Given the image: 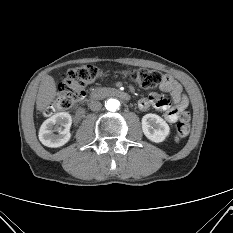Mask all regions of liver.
Returning <instances> with one entry per match:
<instances>
[{
  "instance_id": "obj_1",
  "label": "liver",
  "mask_w": 233,
  "mask_h": 233,
  "mask_svg": "<svg viewBox=\"0 0 233 233\" xmlns=\"http://www.w3.org/2000/svg\"><path fill=\"white\" fill-rule=\"evenodd\" d=\"M56 95L57 88L54 78L49 75L44 76L36 98V109L39 111L46 109L53 102Z\"/></svg>"
}]
</instances>
